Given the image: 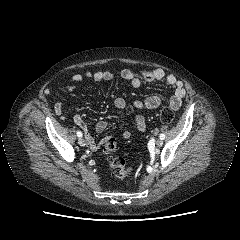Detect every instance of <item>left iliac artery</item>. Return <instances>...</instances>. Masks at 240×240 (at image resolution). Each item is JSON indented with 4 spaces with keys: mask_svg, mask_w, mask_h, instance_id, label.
I'll list each match as a JSON object with an SVG mask.
<instances>
[{
    "mask_svg": "<svg viewBox=\"0 0 240 240\" xmlns=\"http://www.w3.org/2000/svg\"><path fill=\"white\" fill-rule=\"evenodd\" d=\"M160 139L164 140L165 139V135L164 134H160Z\"/></svg>",
    "mask_w": 240,
    "mask_h": 240,
    "instance_id": "44dca946",
    "label": "left iliac artery"
}]
</instances>
